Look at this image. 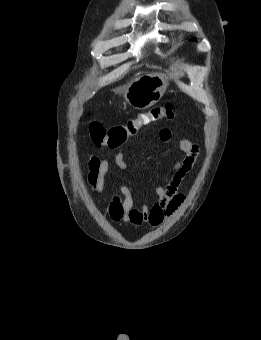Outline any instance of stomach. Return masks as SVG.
<instances>
[{
    "mask_svg": "<svg viewBox=\"0 0 261 340\" xmlns=\"http://www.w3.org/2000/svg\"><path fill=\"white\" fill-rule=\"evenodd\" d=\"M167 80L160 74L146 73L134 79L124 90L126 102L136 109L155 105L167 88Z\"/></svg>",
    "mask_w": 261,
    "mask_h": 340,
    "instance_id": "0dacf381",
    "label": "stomach"
}]
</instances>
